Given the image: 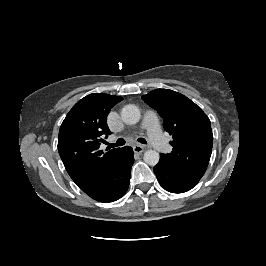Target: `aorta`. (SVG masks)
Listing matches in <instances>:
<instances>
[{
  "label": "aorta",
  "instance_id": "obj_1",
  "mask_svg": "<svg viewBox=\"0 0 266 266\" xmlns=\"http://www.w3.org/2000/svg\"><path fill=\"white\" fill-rule=\"evenodd\" d=\"M121 117L126 124L132 125L139 122L141 113L136 105L129 104L122 108ZM143 159L148 165L155 166L159 162L160 155L155 150H147L144 153Z\"/></svg>",
  "mask_w": 266,
  "mask_h": 266
}]
</instances>
